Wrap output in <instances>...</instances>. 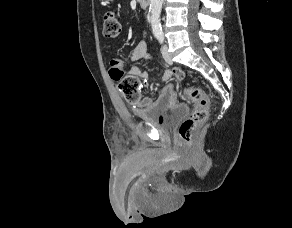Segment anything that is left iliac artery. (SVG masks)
I'll return each instance as SVG.
<instances>
[{
    "instance_id": "left-iliac-artery-1",
    "label": "left iliac artery",
    "mask_w": 292,
    "mask_h": 228,
    "mask_svg": "<svg viewBox=\"0 0 292 228\" xmlns=\"http://www.w3.org/2000/svg\"><path fill=\"white\" fill-rule=\"evenodd\" d=\"M157 39L159 40L160 43H163L164 41V36L162 33H157L156 35Z\"/></svg>"
}]
</instances>
